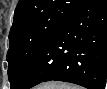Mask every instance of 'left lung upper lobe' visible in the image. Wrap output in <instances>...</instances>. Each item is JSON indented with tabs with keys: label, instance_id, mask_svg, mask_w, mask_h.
<instances>
[{
	"label": "left lung upper lobe",
	"instance_id": "5c2ea615",
	"mask_svg": "<svg viewBox=\"0 0 107 89\" xmlns=\"http://www.w3.org/2000/svg\"><path fill=\"white\" fill-rule=\"evenodd\" d=\"M86 0H19L7 53L11 89L53 33Z\"/></svg>",
	"mask_w": 107,
	"mask_h": 89
}]
</instances>
